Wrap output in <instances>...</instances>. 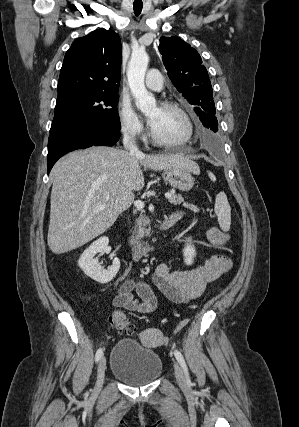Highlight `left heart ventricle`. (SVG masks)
I'll list each match as a JSON object with an SVG mask.
<instances>
[{
    "instance_id": "obj_1",
    "label": "left heart ventricle",
    "mask_w": 299,
    "mask_h": 427,
    "mask_svg": "<svg viewBox=\"0 0 299 427\" xmlns=\"http://www.w3.org/2000/svg\"><path fill=\"white\" fill-rule=\"evenodd\" d=\"M154 133L165 140H178L186 134V124L178 112L173 109L153 106L148 111Z\"/></svg>"
}]
</instances>
